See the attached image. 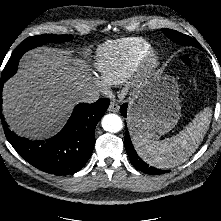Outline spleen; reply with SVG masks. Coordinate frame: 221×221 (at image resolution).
Instances as JSON below:
<instances>
[{"label": "spleen", "mask_w": 221, "mask_h": 221, "mask_svg": "<svg viewBox=\"0 0 221 221\" xmlns=\"http://www.w3.org/2000/svg\"><path fill=\"white\" fill-rule=\"evenodd\" d=\"M211 116L212 110L205 108L176 136L162 141L134 137L135 149L153 167L168 169L180 165L199 147L209 128Z\"/></svg>", "instance_id": "spleen-1"}]
</instances>
